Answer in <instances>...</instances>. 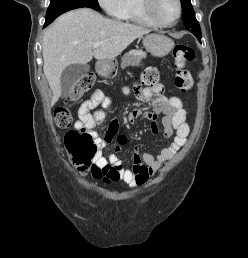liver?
I'll return each instance as SVG.
<instances>
[{
	"label": "liver",
	"instance_id": "liver-1",
	"mask_svg": "<svg viewBox=\"0 0 248 258\" xmlns=\"http://www.w3.org/2000/svg\"><path fill=\"white\" fill-rule=\"evenodd\" d=\"M149 29L104 18L89 8L69 11L56 19L43 36V72L53 92L51 104L61 96L60 77L71 64L113 60ZM100 43L94 49L92 45Z\"/></svg>",
	"mask_w": 248,
	"mask_h": 258
}]
</instances>
